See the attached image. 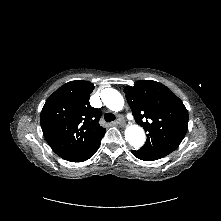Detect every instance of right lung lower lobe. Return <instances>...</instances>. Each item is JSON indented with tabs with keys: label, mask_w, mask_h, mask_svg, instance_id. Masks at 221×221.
Here are the masks:
<instances>
[{
	"label": "right lung lower lobe",
	"mask_w": 221,
	"mask_h": 221,
	"mask_svg": "<svg viewBox=\"0 0 221 221\" xmlns=\"http://www.w3.org/2000/svg\"><path fill=\"white\" fill-rule=\"evenodd\" d=\"M103 138L100 137L87 151H85L82 155H80L79 157L70 160L71 162H83L88 160L90 157H92L96 151L98 150L100 143H101V139Z\"/></svg>",
	"instance_id": "98d812e1"
}]
</instances>
